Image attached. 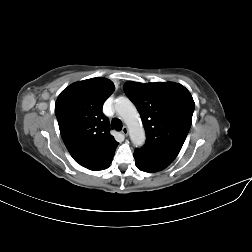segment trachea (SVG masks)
Masks as SVG:
<instances>
[{"label": "trachea", "mask_w": 252, "mask_h": 252, "mask_svg": "<svg viewBox=\"0 0 252 252\" xmlns=\"http://www.w3.org/2000/svg\"><path fill=\"white\" fill-rule=\"evenodd\" d=\"M111 127L117 131H120L122 129V122L120 119L114 118L111 121Z\"/></svg>", "instance_id": "3493384b"}]
</instances>
